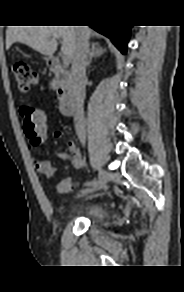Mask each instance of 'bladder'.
Wrapping results in <instances>:
<instances>
[{
	"label": "bladder",
	"mask_w": 184,
	"mask_h": 292,
	"mask_svg": "<svg viewBox=\"0 0 184 292\" xmlns=\"http://www.w3.org/2000/svg\"><path fill=\"white\" fill-rule=\"evenodd\" d=\"M77 214L93 221H102L107 217V210L103 203L87 202L79 208Z\"/></svg>",
	"instance_id": "1"
}]
</instances>
